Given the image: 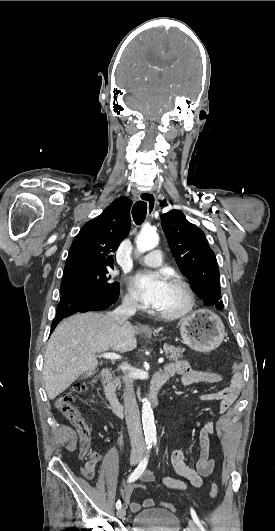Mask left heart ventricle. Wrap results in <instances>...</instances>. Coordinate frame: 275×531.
Instances as JSON below:
<instances>
[{"label": "left heart ventricle", "mask_w": 275, "mask_h": 531, "mask_svg": "<svg viewBox=\"0 0 275 531\" xmlns=\"http://www.w3.org/2000/svg\"><path fill=\"white\" fill-rule=\"evenodd\" d=\"M184 304L185 297L182 290L170 281L161 303L155 309L161 313H171L179 311Z\"/></svg>", "instance_id": "b2bd125f"}]
</instances>
